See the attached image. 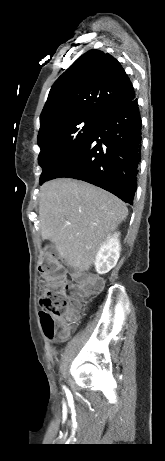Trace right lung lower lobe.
<instances>
[{"instance_id": "1", "label": "right lung lower lobe", "mask_w": 165, "mask_h": 461, "mask_svg": "<svg viewBox=\"0 0 165 461\" xmlns=\"http://www.w3.org/2000/svg\"><path fill=\"white\" fill-rule=\"evenodd\" d=\"M141 126L137 99H133L103 116L89 138L48 180H83L132 204L141 161Z\"/></svg>"}]
</instances>
